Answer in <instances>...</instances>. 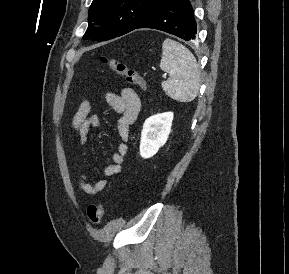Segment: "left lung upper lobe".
I'll return each instance as SVG.
<instances>
[{
	"instance_id": "1",
	"label": "left lung upper lobe",
	"mask_w": 289,
	"mask_h": 274,
	"mask_svg": "<svg viewBox=\"0 0 289 274\" xmlns=\"http://www.w3.org/2000/svg\"><path fill=\"white\" fill-rule=\"evenodd\" d=\"M166 0H93L83 39L106 41L140 25ZM100 27H95L94 24Z\"/></svg>"
}]
</instances>
